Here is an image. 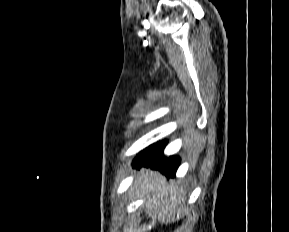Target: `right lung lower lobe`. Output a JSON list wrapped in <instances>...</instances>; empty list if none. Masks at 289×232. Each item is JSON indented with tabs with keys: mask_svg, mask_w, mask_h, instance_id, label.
I'll return each mask as SVG.
<instances>
[{
	"mask_svg": "<svg viewBox=\"0 0 289 232\" xmlns=\"http://www.w3.org/2000/svg\"><path fill=\"white\" fill-rule=\"evenodd\" d=\"M166 143V141H163L146 148L134 159L133 166L137 168L141 166L150 167L159 170L167 177H174L180 163V158L177 156L166 158L163 155Z\"/></svg>",
	"mask_w": 289,
	"mask_h": 232,
	"instance_id": "right-lung-lower-lobe-1",
	"label": "right lung lower lobe"
}]
</instances>
